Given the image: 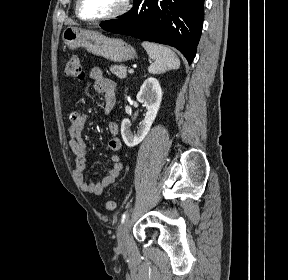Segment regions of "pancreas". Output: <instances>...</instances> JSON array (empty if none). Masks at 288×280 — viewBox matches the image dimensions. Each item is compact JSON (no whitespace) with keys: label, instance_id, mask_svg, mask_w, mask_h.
I'll use <instances>...</instances> for the list:
<instances>
[{"label":"pancreas","instance_id":"cf45deb5","mask_svg":"<svg viewBox=\"0 0 288 280\" xmlns=\"http://www.w3.org/2000/svg\"><path fill=\"white\" fill-rule=\"evenodd\" d=\"M110 71L120 79H125L127 77V67L124 65H113L110 67Z\"/></svg>","mask_w":288,"mask_h":280}]
</instances>
